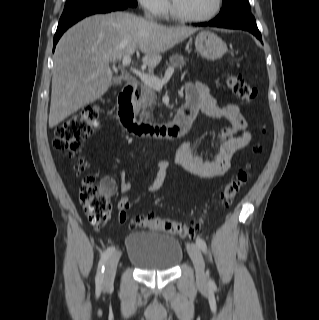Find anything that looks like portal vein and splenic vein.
Instances as JSON below:
<instances>
[{
	"mask_svg": "<svg viewBox=\"0 0 319 320\" xmlns=\"http://www.w3.org/2000/svg\"><path fill=\"white\" fill-rule=\"evenodd\" d=\"M122 63L124 66H129L130 63H131V57L130 55H126L123 57L122 59ZM135 75H137L141 81L145 84V85H148L154 89H161L163 87L164 84H166L169 79L171 78V76L173 75L174 73V68L173 67H169L166 72H165V75L162 79H159L155 76H151V75H148L146 73H142L140 70H137L135 68H131L130 69Z\"/></svg>",
	"mask_w": 319,
	"mask_h": 320,
	"instance_id": "obj_1",
	"label": "portal vein and splenic vein"
}]
</instances>
